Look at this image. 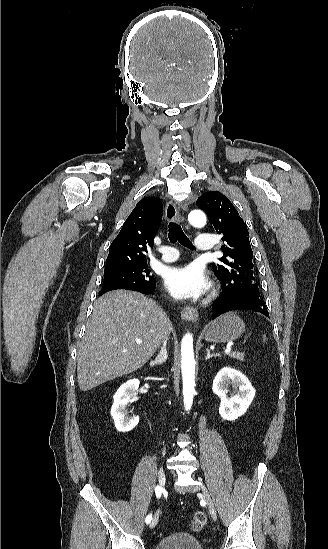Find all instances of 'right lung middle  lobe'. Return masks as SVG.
<instances>
[{
  "label": "right lung middle lobe",
  "instance_id": "right-lung-middle-lobe-1",
  "mask_svg": "<svg viewBox=\"0 0 328 549\" xmlns=\"http://www.w3.org/2000/svg\"><path fill=\"white\" fill-rule=\"evenodd\" d=\"M155 286L147 264L134 265L104 272L101 295L116 289L148 290Z\"/></svg>",
  "mask_w": 328,
  "mask_h": 549
}]
</instances>
